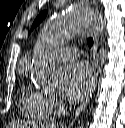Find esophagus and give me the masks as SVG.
Returning <instances> with one entry per match:
<instances>
[{"mask_svg": "<svg viewBox=\"0 0 125 128\" xmlns=\"http://www.w3.org/2000/svg\"><path fill=\"white\" fill-rule=\"evenodd\" d=\"M92 36H93V40H94L93 47H92V57H93L92 63H93V67H94V81H93V85H92L91 90H90L89 94L87 95L86 99L76 110V113L73 117V121L76 120L77 117L79 116V114L81 113V111H83L85 109V107L89 103L90 98L92 97V94L96 88L97 78H98V74H99V56H98L99 40H98V35H97L96 31H94V30L92 31Z\"/></svg>", "mask_w": 125, "mask_h": 128, "instance_id": "esophagus-1", "label": "esophagus"}]
</instances>
